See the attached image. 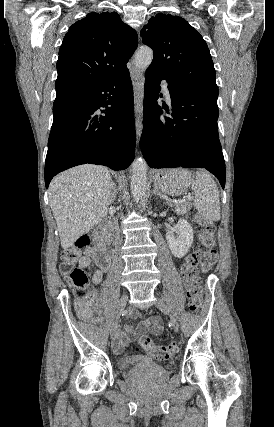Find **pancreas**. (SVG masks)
Instances as JSON below:
<instances>
[{
    "label": "pancreas",
    "instance_id": "pancreas-1",
    "mask_svg": "<svg viewBox=\"0 0 274 427\" xmlns=\"http://www.w3.org/2000/svg\"><path fill=\"white\" fill-rule=\"evenodd\" d=\"M173 206V204H171ZM190 208H192V204L190 202H183V204H174V210L177 214H185V212H189Z\"/></svg>",
    "mask_w": 274,
    "mask_h": 427
}]
</instances>
